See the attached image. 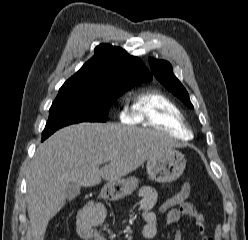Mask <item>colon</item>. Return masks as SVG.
I'll return each instance as SVG.
<instances>
[{
    "label": "colon",
    "mask_w": 248,
    "mask_h": 240,
    "mask_svg": "<svg viewBox=\"0 0 248 240\" xmlns=\"http://www.w3.org/2000/svg\"><path fill=\"white\" fill-rule=\"evenodd\" d=\"M189 190H190L189 183H185L178 193L170 196L160 205L159 211L163 214L164 213L166 214L168 211L181 206L183 203H185L189 195ZM59 240H65V239L61 238Z\"/></svg>",
    "instance_id": "colon-1"
}]
</instances>
